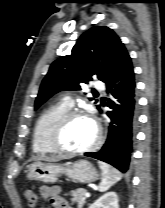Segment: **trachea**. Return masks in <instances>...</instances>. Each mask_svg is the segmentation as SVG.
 Returning <instances> with one entry per match:
<instances>
[{
    "label": "trachea",
    "mask_w": 165,
    "mask_h": 208,
    "mask_svg": "<svg viewBox=\"0 0 165 208\" xmlns=\"http://www.w3.org/2000/svg\"><path fill=\"white\" fill-rule=\"evenodd\" d=\"M94 94H96V95H97V94H98V92H94Z\"/></svg>",
    "instance_id": "obj_1"
}]
</instances>
